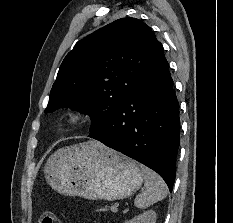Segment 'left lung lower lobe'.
I'll use <instances>...</instances> for the list:
<instances>
[{"label":"left lung lower lobe","instance_id":"obj_1","mask_svg":"<svg viewBox=\"0 0 233 223\" xmlns=\"http://www.w3.org/2000/svg\"><path fill=\"white\" fill-rule=\"evenodd\" d=\"M179 133V105L161 45L128 100L91 137L157 172L171 192Z\"/></svg>","mask_w":233,"mask_h":223}]
</instances>
